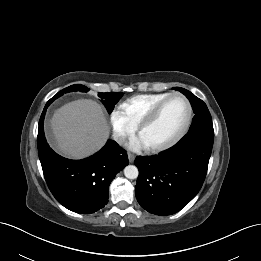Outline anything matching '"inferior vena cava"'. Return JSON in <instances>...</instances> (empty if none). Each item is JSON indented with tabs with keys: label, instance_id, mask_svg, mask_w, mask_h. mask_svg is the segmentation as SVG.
Returning <instances> with one entry per match:
<instances>
[{
	"label": "inferior vena cava",
	"instance_id": "obj_1",
	"mask_svg": "<svg viewBox=\"0 0 261 261\" xmlns=\"http://www.w3.org/2000/svg\"><path fill=\"white\" fill-rule=\"evenodd\" d=\"M114 138L118 143H124L126 139V137L123 135H115Z\"/></svg>",
	"mask_w": 261,
	"mask_h": 261
}]
</instances>
